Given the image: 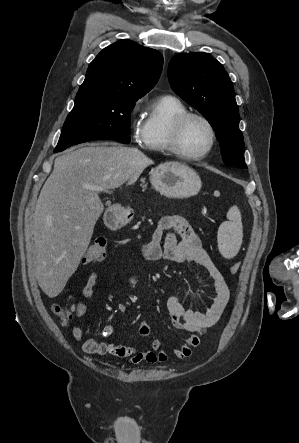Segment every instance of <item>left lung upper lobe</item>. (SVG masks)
I'll list each match as a JSON object with an SVG mask.
<instances>
[{
    "label": "left lung upper lobe",
    "instance_id": "left-lung-upper-lobe-1",
    "mask_svg": "<svg viewBox=\"0 0 299 443\" xmlns=\"http://www.w3.org/2000/svg\"><path fill=\"white\" fill-rule=\"evenodd\" d=\"M168 79L173 91L211 124L224 163L247 168L233 84L223 66L207 53L179 54L169 62Z\"/></svg>",
    "mask_w": 299,
    "mask_h": 443
}]
</instances>
